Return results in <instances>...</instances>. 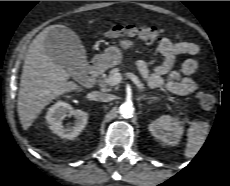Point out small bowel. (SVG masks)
Wrapping results in <instances>:
<instances>
[{"label":"small bowel","mask_w":230,"mask_h":186,"mask_svg":"<svg viewBox=\"0 0 230 186\" xmlns=\"http://www.w3.org/2000/svg\"><path fill=\"white\" fill-rule=\"evenodd\" d=\"M158 51L163 59L152 71L146 61L137 63L138 71L145 82L151 88H165L176 95L185 96L194 92L197 84L191 75L197 70V61L188 58L183 61L179 69H176L174 64L176 56L180 54L191 56L199 54V46L177 35L175 41L162 38L158 43Z\"/></svg>","instance_id":"small-bowel-1"}]
</instances>
